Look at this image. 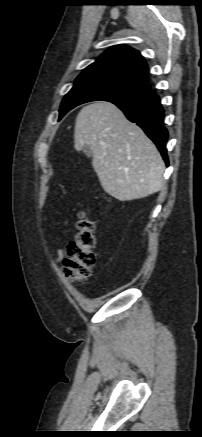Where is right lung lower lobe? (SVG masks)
<instances>
[{"label": "right lung lower lobe", "mask_w": 202, "mask_h": 437, "mask_svg": "<svg viewBox=\"0 0 202 437\" xmlns=\"http://www.w3.org/2000/svg\"><path fill=\"white\" fill-rule=\"evenodd\" d=\"M118 106L131 121L137 123L156 144L168 165L166 142L168 131L163 126L164 110L159 96L152 90L133 98L111 101Z\"/></svg>", "instance_id": "1"}]
</instances>
